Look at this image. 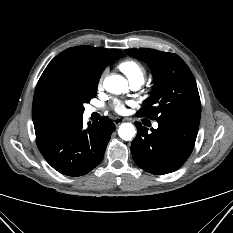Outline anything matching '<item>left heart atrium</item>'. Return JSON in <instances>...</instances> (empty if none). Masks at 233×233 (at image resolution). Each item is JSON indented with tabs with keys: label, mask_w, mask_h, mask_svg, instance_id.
Listing matches in <instances>:
<instances>
[{
	"label": "left heart atrium",
	"mask_w": 233,
	"mask_h": 233,
	"mask_svg": "<svg viewBox=\"0 0 233 233\" xmlns=\"http://www.w3.org/2000/svg\"><path fill=\"white\" fill-rule=\"evenodd\" d=\"M132 105L131 102H123L120 100H115L112 103V109L118 114H125L127 111V106Z\"/></svg>",
	"instance_id": "1"
}]
</instances>
